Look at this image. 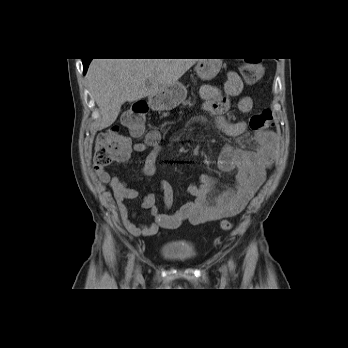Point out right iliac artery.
Segmentation results:
<instances>
[{"instance_id": "right-iliac-artery-1", "label": "right iliac artery", "mask_w": 348, "mask_h": 348, "mask_svg": "<svg viewBox=\"0 0 348 348\" xmlns=\"http://www.w3.org/2000/svg\"><path fill=\"white\" fill-rule=\"evenodd\" d=\"M133 261H134V257L132 256L129 259L128 266H127V274H126L127 280L130 279V277H131V273H132V269H133Z\"/></svg>"}]
</instances>
